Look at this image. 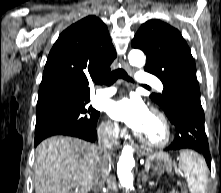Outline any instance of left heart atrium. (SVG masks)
<instances>
[{"mask_svg": "<svg viewBox=\"0 0 221 193\" xmlns=\"http://www.w3.org/2000/svg\"><path fill=\"white\" fill-rule=\"evenodd\" d=\"M107 111L111 118L123 122L137 132L150 113L145 103L135 96H124L110 101Z\"/></svg>", "mask_w": 221, "mask_h": 193, "instance_id": "left-heart-atrium-1", "label": "left heart atrium"}]
</instances>
